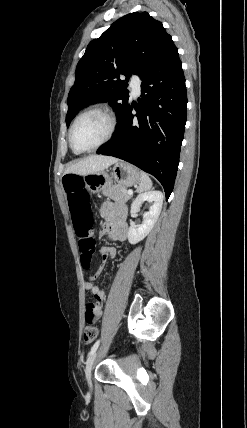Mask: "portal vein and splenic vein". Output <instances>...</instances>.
Here are the masks:
<instances>
[{
  "label": "portal vein and splenic vein",
  "instance_id": "1",
  "mask_svg": "<svg viewBox=\"0 0 247 428\" xmlns=\"http://www.w3.org/2000/svg\"><path fill=\"white\" fill-rule=\"evenodd\" d=\"M127 193H128L129 195H132V194H133V191H132V190H128V191H127Z\"/></svg>",
  "mask_w": 247,
  "mask_h": 428
}]
</instances>
